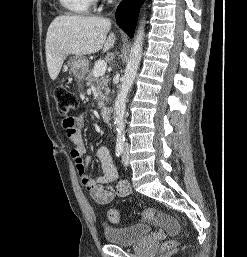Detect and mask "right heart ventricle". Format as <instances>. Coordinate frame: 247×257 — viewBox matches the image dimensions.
I'll return each instance as SVG.
<instances>
[{
  "label": "right heart ventricle",
  "mask_w": 247,
  "mask_h": 257,
  "mask_svg": "<svg viewBox=\"0 0 247 257\" xmlns=\"http://www.w3.org/2000/svg\"><path fill=\"white\" fill-rule=\"evenodd\" d=\"M59 2L72 14L86 15L90 12L94 0H59Z\"/></svg>",
  "instance_id": "1"
}]
</instances>
